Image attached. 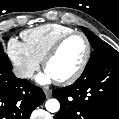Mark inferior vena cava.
<instances>
[{
  "label": "inferior vena cava",
  "instance_id": "602c4592",
  "mask_svg": "<svg viewBox=\"0 0 119 119\" xmlns=\"http://www.w3.org/2000/svg\"><path fill=\"white\" fill-rule=\"evenodd\" d=\"M13 72L18 78H31L33 76V71L27 69L15 68Z\"/></svg>",
  "mask_w": 119,
  "mask_h": 119
}]
</instances>
